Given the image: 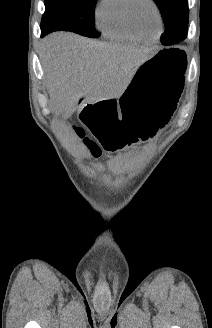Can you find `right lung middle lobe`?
Wrapping results in <instances>:
<instances>
[{
	"label": "right lung middle lobe",
	"instance_id": "obj_1",
	"mask_svg": "<svg viewBox=\"0 0 212 328\" xmlns=\"http://www.w3.org/2000/svg\"><path fill=\"white\" fill-rule=\"evenodd\" d=\"M96 2L97 0H45L41 29L47 33L65 30L98 38L99 34L93 23Z\"/></svg>",
	"mask_w": 212,
	"mask_h": 328
}]
</instances>
